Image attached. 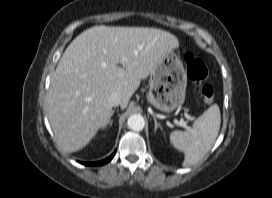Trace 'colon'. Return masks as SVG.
Returning <instances> with one entry per match:
<instances>
[{"instance_id": "colon-1", "label": "colon", "mask_w": 272, "mask_h": 198, "mask_svg": "<svg viewBox=\"0 0 272 198\" xmlns=\"http://www.w3.org/2000/svg\"><path fill=\"white\" fill-rule=\"evenodd\" d=\"M189 77L200 85V95L205 102L214 99V89L209 83V76L204 62L194 53L188 51L184 55Z\"/></svg>"}]
</instances>
